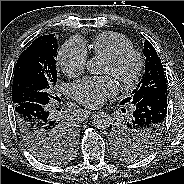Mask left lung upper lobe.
<instances>
[{"instance_id":"5c2ea615","label":"left lung upper lobe","mask_w":184,"mask_h":184,"mask_svg":"<svg viewBox=\"0 0 184 184\" xmlns=\"http://www.w3.org/2000/svg\"><path fill=\"white\" fill-rule=\"evenodd\" d=\"M143 54L146 57L143 78L133 90L131 97L121 101V105L125 103L135 105L141 99L153 93L168 94L163 65L149 41L144 43ZM151 133L154 132L150 127H134L131 125V119H128L119 121L111 127L110 138L118 156L124 160L131 161L143 158L155 147L156 143H152L150 148L146 151L137 152L134 149L137 142L151 141ZM155 134H157V132H155Z\"/></svg>"}]
</instances>
